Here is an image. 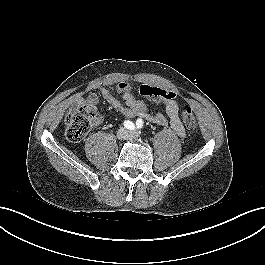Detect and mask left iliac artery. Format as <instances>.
I'll return each mask as SVG.
<instances>
[{"label": "left iliac artery", "instance_id": "44dca946", "mask_svg": "<svg viewBox=\"0 0 265 265\" xmlns=\"http://www.w3.org/2000/svg\"><path fill=\"white\" fill-rule=\"evenodd\" d=\"M136 126H137L138 129L143 128V126H144V122H143V120H142V119H138V120L136 121Z\"/></svg>", "mask_w": 265, "mask_h": 265}]
</instances>
